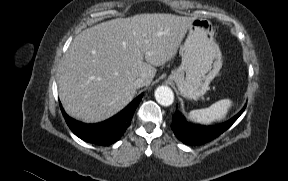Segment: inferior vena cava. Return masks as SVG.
Listing matches in <instances>:
<instances>
[{
    "label": "inferior vena cava",
    "instance_id": "inferior-vena-cava-1",
    "mask_svg": "<svg viewBox=\"0 0 288 181\" xmlns=\"http://www.w3.org/2000/svg\"><path fill=\"white\" fill-rule=\"evenodd\" d=\"M133 85H134L135 88L138 89V88H141V87L145 86V81H144L143 78H137L134 81Z\"/></svg>",
    "mask_w": 288,
    "mask_h": 181
}]
</instances>
